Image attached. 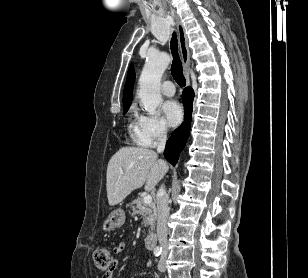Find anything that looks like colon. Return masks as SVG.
<instances>
[{"label":"colon","instance_id":"obj_1","mask_svg":"<svg viewBox=\"0 0 308 278\" xmlns=\"http://www.w3.org/2000/svg\"><path fill=\"white\" fill-rule=\"evenodd\" d=\"M113 251L108 247L98 246L93 252V261L95 267L102 272H108L113 265L114 257Z\"/></svg>","mask_w":308,"mask_h":278}]
</instances>
